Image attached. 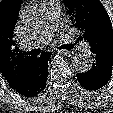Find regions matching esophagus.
<instances>
[{
	"label": "esophagus",
	"instance_id": "obj_1",
	"mask_svg": "<svg viewBox=\"0 0 113 113\" xmlns=\"http://www.w3.org/2000/svg\"><path fill=\"white\" fill-rule=\"evenodd\" d=\"M57 52H61V53H63L66 56H72L74 54L73 50H59L58 49Z\"/></svg>",
	"mask_w": 113,
	"mask_h": 113
}]
</instances>
